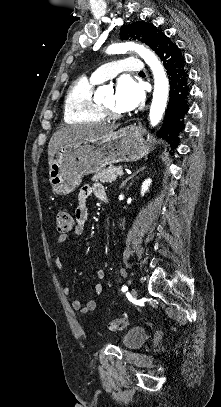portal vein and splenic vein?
<instances>
[{
  "label": "portal vein and splenic vein",
  "instance_id": "obj_1",
  "mask_svg": "<svg viewBox=\"0 0 221 407\" xmlns=\"http://www.w3.org/2000/svg\"><path fill=\"white\" fill-rule=\"evenodd\" d=\"M117 174H118L119 176H122V175H124V172L121 170V171H118Z\"/></svg>",
  "mask_w": 221,
  "mask_h": 407
}]
</instances>
